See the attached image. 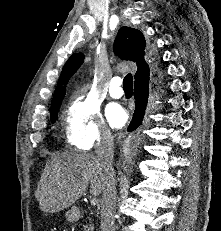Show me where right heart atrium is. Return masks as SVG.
<instances>
[{"mask_svg": "<svg viewBox=\"0 0 221 231\" xmlns=\"http://www.w3.org/2000/svg\"><path fill=\"white\" fill-rule=\"evenodd\" d=\"M65 133L67 142L80 150H90L111 141L97 104L87 96H76L67 115Z\"/></svg>", "mask_w": 221, "mask_h": 231, "instance_id": "d8ad5b80", "label": "right heart atrium"}]
</instances>
